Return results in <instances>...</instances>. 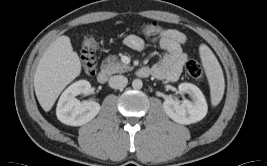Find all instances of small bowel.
<instances>
[{
    "label": "small bowel",
    "instance_id": "small-bowel-1",
    "mask_svg": "<svg viewBox=\"0 0 267 166\" xmlns=\"http://www.w3.org/2000/svg\"><path fill=\"white\" fill-rule=\"evenodd\" d=\"M186 41V36L176 29H167L153 38V42L165 51V55L153 66L146 67L149 70V74L160 80L176 81L187 60V55L183 49ZM124 44L135 51H143L145 49L144 40L134 34L128 35L124 39Z\"/></svg>",
    "mask_w": 267,
    "mask_h": 166
}]
</instances>
